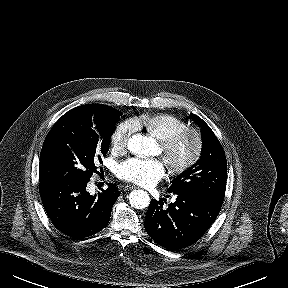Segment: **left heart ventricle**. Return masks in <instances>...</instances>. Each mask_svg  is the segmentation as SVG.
Instances as JSON below:
<instances>
[{"mask_svg":"<svg viewBox=\"0 0 288 288\" xmlns=\"http://www.w3.org/2000/svg\"><path fill=\"white\" fill-rule=\"evenodd\" d=\"M162 151V147L160 146ZM193 149V139L190 137L182 139L175 148V157L178 159L187 158Z\"/></svg>","mask_w":288,"mask_h":288,"instance_id":"left-heart-ventricle-1","label":"left heart ventricle"}]
</instances>
